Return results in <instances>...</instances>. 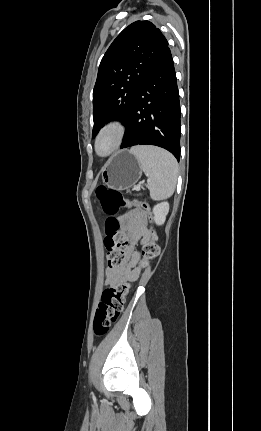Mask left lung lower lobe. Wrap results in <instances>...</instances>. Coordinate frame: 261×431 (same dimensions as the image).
Returning a JSON list of instances; mask_svg holds the SVG:
<instances>
[{
  "instance_id": "left-lung-lower-lobe-1",
  "label": "left lung lower lobe",
  "mask_w": 261,
  "mask_h": 431,
  "mask_svg": "<svg viewBox=\"0 0 261 431\" xmlns=\"http://www.w3.org/2000/svg\"><path fill=\"white\" fill-rule=\"evenodd\" d=\"M180 102L169 47L147 73L133 101L120 148L162 147L180 158Z\"/></svg>"
}]
</instances>
